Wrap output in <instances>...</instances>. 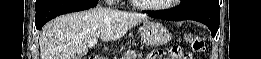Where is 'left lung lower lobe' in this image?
<instances>
[{
    "label": "left lung lower lobe",
    "mask_w": 261,
    "mask_h": 59,
    "mask_svg": "<svg viewBox=\"0 0 261 59\" xmlns=\"http://www.w3.org/2000/svg\"><path fill=\"white\" fill-rule=\"evenodd\" d=\"M147 14L152 17L171 21L195 20L205 24L214 37L219 28L220 10L218 1L198 0L180 5L166 12H151Z\"/></svg>",
    "instance_id": "obj_1"
}]
</instances>
